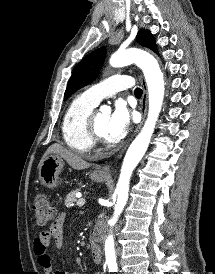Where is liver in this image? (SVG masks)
Instances as JSON below:
<instances>
[{
    "label": "liver",
    "instance_id": "1",
    "mask_svg": "<svg viewBox=\"0 0 215 274\" xmlns=\"http://www.w3.org/2000/svg\"><path fill=\"white\" fill-rule=\"evenodd\" d=\"M50 155L60 156L73 169H76V170H82V169L90 167V164L87 161H85L78 154H75L74 152H71V151L67 150L66 148L62 147L59 144H53L47 149L44 156L42 157V159L39 163V166H38L39 169H40L43 161Z\"/></svg>",
    "mask_w": 215,
    "mask_h": 274
}]
</instances>
